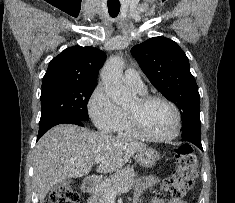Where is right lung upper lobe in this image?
Returning a JSON list of instances; mask_svg holds the SVG:
<instances>
[{"label":"right lung upper lobe","instance_id":"obj_1","mask_svg":"<svg viewBox=\"0 0 235 203\" xmlns=\"http://www.w3.org/2000/svg\"><path fill=\"white\" fill-rule=\"evenodd\" d=\"M106 54L93 47L73 46L53 58L43 77L42 87L57 83H97Z\"/></svg>","mask_w":235,"mask_h":203}]
</instances>
